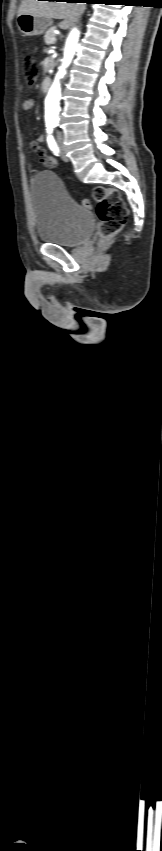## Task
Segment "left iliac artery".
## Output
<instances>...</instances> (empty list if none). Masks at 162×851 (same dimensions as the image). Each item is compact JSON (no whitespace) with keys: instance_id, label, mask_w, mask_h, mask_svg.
I'll use <instances>...</instances> for the list:
<instances>
[{"instance_id":"44dca946","label":"left iliac artery","mask_w":162,"mask_h":851,"mask_svg":"<svg viewBox=\"0 0 162 851\" xmlns=\"http://www.w3.org/2000/svg\"><path fill=\"white\" fill-rule=\"evenodd\" d=\"M55 126L56 125H47V134H48L47 135V143H48L49 148L53 151V153L55 155H58L59 154V148L57 146V143H56L54 137L52 136V131H53V128Z\"/></svg>"}]
</instances>
